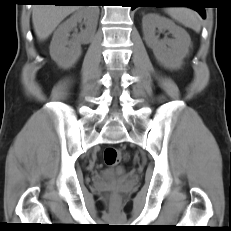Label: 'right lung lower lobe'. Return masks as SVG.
<instances>
[{
	"instance_id": "1",
	"label": "right lung lower lobe",
	"mask_w": 231,
	"mask_h": 231,
	"mask_svg": "<svg viewBox=\"0 0 231 231\" xmlns=\"http://www.w3.org/2000/svg\"><path fill=\"white\" fill-rule=\"evenodd\" d=\"M33 2L36 3H52L55 5H76L75 3H78L77 1L81 0H32Z\"/></svg>"
}]
</instances>
